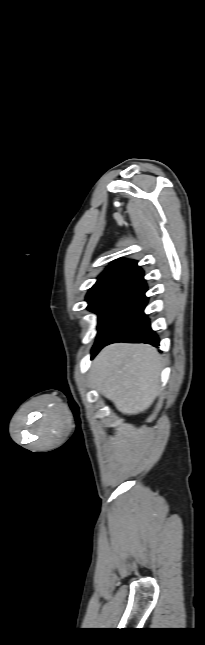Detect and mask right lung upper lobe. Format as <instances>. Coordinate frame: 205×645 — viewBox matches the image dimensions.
Masks as SVG:
<instances>
[{
	"label": "right lung upper lobe",
	"instance_id": "right-lung-upper-lobe-1",
	"mask_svg": "<svg viewBox=\"0 0 205 645\" xmlns=\"http://www.w3.org/2000/svg\"><path fill=\"white\" fill-rule=\"evenodd\" d=\"M143 275V271L137 266L135 260H116L98 277L86 299L91 304L119 291H147Z\"/></svg>",
	"mask_w": 205,
	"mask_h": 645
}]
</instances>
